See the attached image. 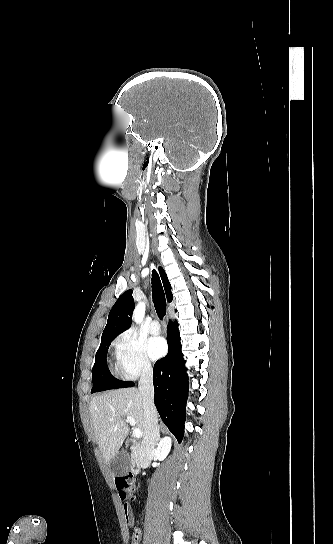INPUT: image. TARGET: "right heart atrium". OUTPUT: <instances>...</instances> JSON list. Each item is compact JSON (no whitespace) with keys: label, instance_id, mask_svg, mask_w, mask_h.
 <instances>
[{"label":"right heart atrium","instance_id":"d8ad5b80","mask_svg":"<svg viewBox=\"0 0 333 544\" xmlns=\"http://www.w3.org/2000/svg\"><path fill=\"white\" fill-rule=\"evenodd\" d=\"M112 345L117 373L122 379L134 380L151 375L153 368L145 343L133 330L119 334Z\"/></svg>","mask_w":333,"mask_h":544}]
</instances>
